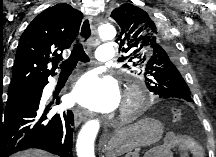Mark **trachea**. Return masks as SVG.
Returning <instances> with one entry per match:
<instances>
[{
	"instance_id": "1",
	"label": "trachea",
	"mask_w": 216,
	"mask_h": 157,
	"mask_svg": "<svg viewBox=\"0 0 216 157\" xmlns=\"http://www.w3.org/2000/svg\"><path fill=\"white\" fill-rule=\"evenodd\" d=\"M78 61L84 63L89 62V57L85 53L83 45L81 43H77L74 46L70 57L60 65L61 73L62 74L71 73L76 67Z\"/></svg>"
}]
</instances>
